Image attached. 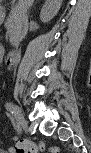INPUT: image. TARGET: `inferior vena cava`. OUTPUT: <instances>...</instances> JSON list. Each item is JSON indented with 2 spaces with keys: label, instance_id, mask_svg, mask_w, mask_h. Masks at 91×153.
Returning a JSON list of instances; mask_svg holds the SVG:
<instances>
[{
  "label": "inferior vena cava",
  "instance_id": "602c4592",
  "mask_svg": "<svg viewBox=\"0 0 91 153\" xmlns=\"http://www.w3.org/2000/svg\"><path fill=\"white\" fill-rule=\"evenodd\" d=\"M23 36L26 35L27 31H28V16H26L25 14H23Z\"/></svg>",
  "mask_w": 91,
  "mask_h": 153
}]
</instances>
